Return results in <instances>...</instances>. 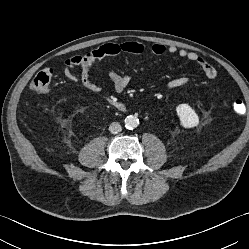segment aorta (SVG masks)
<instances>
[{
  "label": "aorta",
  "mask_w": 249,
  "mask_h": 249,
  "mask_svg": "<svg viewBox=\"0 0 249 249\" xmlns=\"http://www.w3.org/2000/svg\"><path fill=\"white\" fill-rule=\"evenodd\" d=\"M124 123L127 129H134L139 125V119L136 116L129 115L125 118Z\"/></svg>",
  "instance_id": "obj_1"
}]
</instances>
